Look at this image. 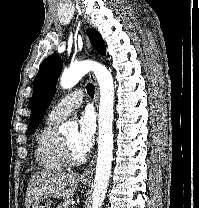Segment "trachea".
<instances>
[{
	"mask_svg": "<svg viewBox=\"0 0 199 208\" xmlns=\"http://www.w3.org/2000/svg\"><path fill=\"white\" fill-rule=\"evenodd\" d=\"M87 89V93L89 94V96L93 97L94 96V85L92 83H88L86 86Z\"/></svg>",
	"mask_w": 199,
	"mask_h": 208,
	"instance_id": "obj_1",
	"label": "trachea"
}]
</instances>
